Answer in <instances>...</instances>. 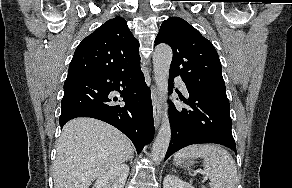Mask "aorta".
Listing matches in <instances>:
<instances>
[{"instance_id": "aorta-1", "label": "aorta", "mask_w": 292, "mask_h": 188, "mask_svg": "<svg viewBox=\"0 0 292 188\" xmlns=\"http://www.w3.org/2000/svg\"><path fill=\"white\" fill-rule=\"evenodd\" d=\"M172 56V49L167 44H160L155 47L153 53V71L155 83L161 97L163 114L162 124L151 150V157L155 162H160L164 159L171 140V127L168 118L166 95L168 93V78Z\"/></svg>"}]
</instances>
